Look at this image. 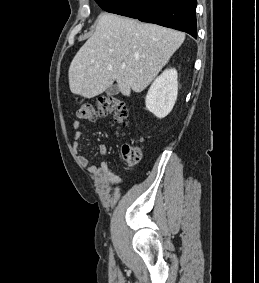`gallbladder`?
Segmentation results:
<instances>
[{"mask_svg":"<svg viewBox=\"0 0 259 283\" xmlns=\"http://www.w3.org/2000/svg\"><path fill=\"white\" fill-rule=\"evenodd\" d=\"M119 92H120V89H119L118 85H116V84L110 86V87L106 90V94H107V95H111V96L117 95Z\"/></svg>","mask_w":259,"mask_h":283,"instance_id":"bac80fb5","label":"gallbladder"}]
</instances>
